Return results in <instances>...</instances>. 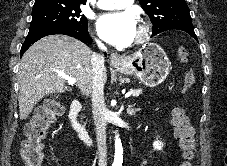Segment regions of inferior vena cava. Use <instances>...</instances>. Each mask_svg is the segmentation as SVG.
<instances>
[{
    "label": "inferior vena cava",
    "instance_id": "inferior-vena-cava-1",
    "mask_svg": "<svg viewBox=\"0 0 227 166\" xmlns=\"http://www.w3.org/2000/svg\"><path fill=\"white\" fill-rule=\"evenodd\" d=\"M101 53L93 54V77H92V109L94 115V123L96 127V137L98 144V166H107V148H106V119H105V103H104V83H105V67L104 55L102 52L107 51L106 46L99 40H96Z\"/></svg>",
    "mask_w": 227,
    "mask_h": 166
}]
</instances>
